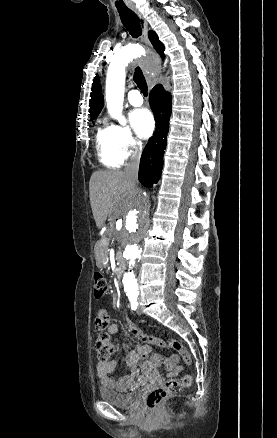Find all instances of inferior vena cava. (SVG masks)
Here are the masks:
<instances>
[{"mask_svg": "<svg viewBox=\"0 0 277 438\" xmlns=\"http://www.w3.org/2000/svg\"><path fill=\"white\" fill-rule=\"evenodd\" d=\"M139 162H140V154H134L131 156L130 162H128L124 172L129 180L130 186H135L138 182V172H139Z\"/></svg>", "mask_w": 277, "mask_h": 438, "instance_id": "obj_1", "label": "inferior vena cava"}]
</instances>
